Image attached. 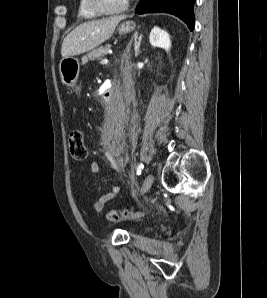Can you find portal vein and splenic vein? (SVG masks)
Segmentation results:
<instances>
[{"label": "portal vein and splenic vein", "mask_w": 267, "mask_h": 298, "mask_svg": "<svg viewBox=\"0 0 267 298\" xmlns=\"http://www.w3.org/2000/svg\"><path fill=\"white\" fill-rule=\"evenodd\" d=\"M107 61H108L107 59H103L101 62L104 63V62H107Z\"/></svg>", "instance_id": "18ae733b"}]
</instances>
